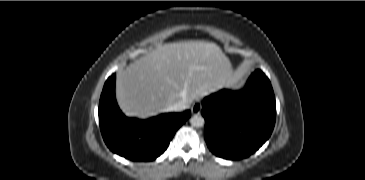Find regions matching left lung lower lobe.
<instances>
[{
	"instance_id": "left-lung-lower-lobe-1",
	"label": "left lung lower lobe",
	"mask_w": 365,
	"mask_h": 180,
	"mask_svg": "<svg viewBox=\"0 0 365 180\" xmlns=\"http://www.w3.org/2000/svg\"><path fill=\"white\" fill-rule=\"evenodd\" d=\"M205 141L216 156L236 160L258 150L270 137L276 103L269 79L261 70L240 91L221 90L202 104Z\"/></svg>"
}]
</instances>
